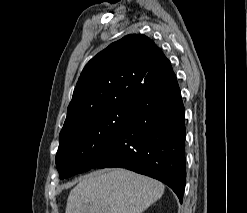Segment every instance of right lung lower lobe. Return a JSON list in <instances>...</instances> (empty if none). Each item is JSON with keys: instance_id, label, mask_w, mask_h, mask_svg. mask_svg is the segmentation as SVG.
Wrapping results in <instances>:
<instances>
[{"instance_id": "right-lung-lower-lobe-1", "label": "right lung lower lobe", "mask_w": 247, "mask_h": 213, "mask_svg": "<svg viewBox=\"0 0 247 213\" xmlns=\"http://www.w3.org/2000/svg\"><path fill=\"white\" fill-rule=\"evenodd\" d=\"M129 100V117L107 142L94 167H121L158 179L182 202L186 130L176 76Z\"/></svg>"}]
</instances>
